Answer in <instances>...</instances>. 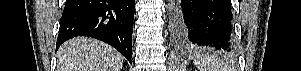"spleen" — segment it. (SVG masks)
Here are the masks:
<instances>
[{"label":"spleen","mask_w":301,"mask_h":71,"mask_svg":"<svg viewBox=\"0 0 301 71\" xmlns=\"http://www.w3.org/2000/svg\"><path fill=\"white\" fill-rule=\"evenodd\" d=\"M194 64L200 71H227L229 68L224 61L215 56L201 55L195 58Z\"/></svg>","instance_id":"1"}]
</instances>
